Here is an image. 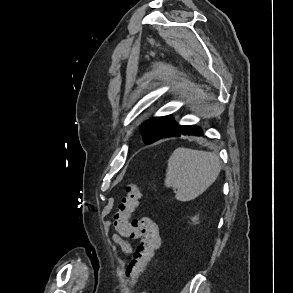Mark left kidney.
Here are the masks:
<instances>
[{"mask_svg":"<svg viewBox=\"0 0 293 293\" xmlns=\"http://www.w3.org/2000/svg\"><path fill=\"white\" fill-rule=\"evenodd\" d=\"M199 217L198 216H194L193 218H191L193 223H196L198 221Z\"/></svg>","mask_w":293,"mask_h":293,"instance_id":"5707ae66","label":"left kidney"}]
</instances>
